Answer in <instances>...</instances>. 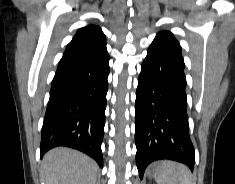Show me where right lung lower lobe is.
Wrapping results in <instances>:
<instances>
[{
	"instance_id": "right-lung-lower-lobe-1",
	"label": "right lung lower lobe",
	"mask_w": 235,
	"mask_h": 184,
	"mask_svg": "<svg viewBox=\"0 0 235 184\" xmlns=\"http://www.w3.org/2000/svg\"><path fill=\"white\" fill-rule=\"evenodd\" d=\"M109 56L62 57L51 84L41 136V158L50 149L80 150L103 167Z\"/></svg>"
}]
</instances>
